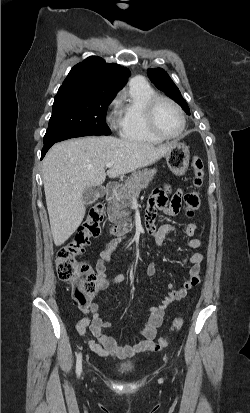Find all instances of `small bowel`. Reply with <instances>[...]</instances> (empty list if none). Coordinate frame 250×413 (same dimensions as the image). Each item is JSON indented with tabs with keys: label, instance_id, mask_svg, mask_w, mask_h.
<instances>
[{
	"label": "small bowel",
	"instance_id": "obj_1",
	"mask_svg": "<svg viewBox=\"0 0 250 413\" xmlns=\"http://www.w3.org/2000/svg\"><path fill=\"white\" fill-rule=\"evenodd\" d=\"M170 193L171 188L167 186L163 189H155L150 196L146 211V227L149 235L154 237L155 244L158 248L162 247L165 238L170 233L176 235L183 234L188 237L189 240L186 245L190 249L201 248L203 246V241L199 237V228L195 222L189 223L183 232L169 223L162 224L159 227L154 225L157 210H161L170 216L179 214L180 206L184 200L183 191L180 189L176 190L171 198V202L168 203V195ZM118 243L119 239H114L108 242L100 253V257L95 265L97 285L93 296L101 291L109 289L112 285L119 284L125 280V277L122 274H118L112 279H109L106 275L105 263L111 259L113 253L116 251ZM203 260L204 255L199 252L181 260L182 264L191 266L188 279L180 288H175L172 283L168 284L169 291L167 295L159 304L151 306L148 309L147 320L139 331L138 336L131 342L121 343L115 336L108 335L104 332L105 329L112 326V323L103 320L100 317L97 305L92 302L86 306H80L86 316L77 322V332L81 336L87 338V343L90 349L101 357L111 356L118 359H128L142 353L158 351L159 349L154 340L157 336L158 329L162 324L164 311L172 302L183 299L188 291L199 283ZM156 271V263H149L147 266V274L153 276ZM87 328H89L90 337L87 334Z\"/></svg>",
	"mask_w": 250,
	"mask_h": 413
}]
</instances>
